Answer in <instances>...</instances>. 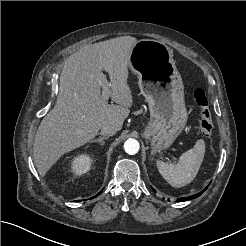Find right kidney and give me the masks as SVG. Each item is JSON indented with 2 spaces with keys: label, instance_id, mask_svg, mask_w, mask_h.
<instances>
[{
  "label": "right kidney",
  "instance_id": "1",
  "mask_svg": "<svg viewBox=\"0 0 246 246\" xmlns=\"http://www.w3.org/2000/svg\"><path fill=\"white\" fill-rule=\"evenodd\" d=\"M93 159L88 154L75 156L71 161V170L76 175H82L90 170Z\"/></svg>",
  "mask_w": 246,
  "mask_h": 246
}]
</instances>
